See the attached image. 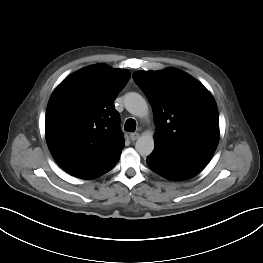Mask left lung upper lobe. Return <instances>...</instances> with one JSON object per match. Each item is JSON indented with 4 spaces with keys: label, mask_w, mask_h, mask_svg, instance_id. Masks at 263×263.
Instances as JSON below:
<instances>
[{
    "label": "left lung upper lobe",
    "mask_w": 263,
    "mask_h": 263,
    "mask_svg": "<svg viewBox=\"0 0 263 263\" xmlns=\"http://www.w3.org/2000/svg\"><path fill=\"white\" fill-rule=\"evenodd\" d=\"M133 79L152 105L155 143L216 150L218 109L211 93L199 81L175 68L138 71Z\"/></svg>",
    "instance_id": "left-lung-upper-lobe-1"
}]
</instances>
